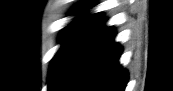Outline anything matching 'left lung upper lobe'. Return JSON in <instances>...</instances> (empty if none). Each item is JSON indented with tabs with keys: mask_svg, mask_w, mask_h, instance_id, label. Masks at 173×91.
I'll return each instance as SVG.
<instances>
[{
	"mask_svg": "<svg viewBox=\"0 0 173 91\" xmlns=\"http://www.w3.org/2000/svg\"><path fill=\"white\" fill-rule=\"evenodd\" d=\"M93 6V3L80 4L70 14L84 12ZM102 18L103 15L101 13L82 15L64 28L60 36V43H62V47L52 59L49 69V90L54 88L61 71L72 52L91 32V30L102 20Z\"/></svg>",
	"mask_w": 173,
	"mask_h": 91,
	"instance_id": "1",
	"label": "left lung upper lobe"
}]
</instances>
